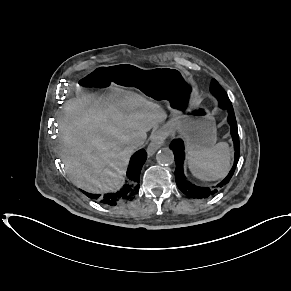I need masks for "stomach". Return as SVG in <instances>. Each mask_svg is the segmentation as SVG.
I'll return each mask as SVG.
<instances>
[{
	"label": "stomach",
	"instance_id": "stomach-1",
	"mask_svg": "<svg viewBox=\"0 0 291 291\" xmlns=\"http://www.w3.org/2000/svg\"><path fill=\"white\" fill-rule=\"evenodd\" d=\"M91 89L131 88L150 100L166 102L173 114L167 131H178L189 150H202L216 142V125L208 110L197 100L195 82L188 73L175 67L142 68L134 64L93 67L80 79Z\"/></svg>",
	"mask_w": 291,
	"mask_h": 291
}]
</instances>
